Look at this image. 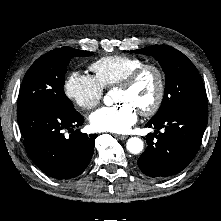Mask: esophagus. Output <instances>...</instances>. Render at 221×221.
I'll return each mask as SVG.
<instances>
[{
	"mask_svg": "<svg viewBox=\"0 0 221 221\" xmlns=\"http://www.w3.org/2000/svg\"><path fill=\"white\" fill-rule=\"evenodd\" d=\"M115 137L116 138H118V139H120V140H125V139H127L128 137L127 136H125V135H115Z\"/></svg>",
	"mask_w": 221,
	"mask_h": 221,
	"instance_id": "34e87169",
	"label": "esophagus"
}]
</instances>
